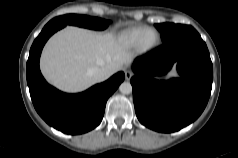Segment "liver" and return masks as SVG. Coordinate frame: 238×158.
Returning a JSON list of instances; mask_svg holds the SVG:
<instances>
[{
	"label": "liver",
	"mask_w": 238,
	"mask_h": 158,
	"mask_svg": "<svg viewBox=\"0 0 238 158\" xmlns=\"http://www.w3.org/2000/svg\"><path fill=\"white\" fill-rule=\"evenodd\" d=\"M131 59L122 40L112 33L69 26L50 38L40 66L51 84L64 91L78 92L96 83L89 74L91 68L106 67L112 75Z\"/></svg>",
	"instance_id": "1"
}]
</instances>
